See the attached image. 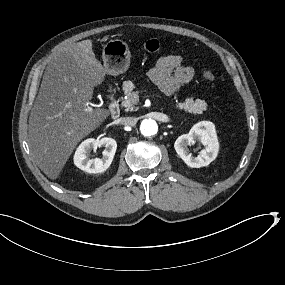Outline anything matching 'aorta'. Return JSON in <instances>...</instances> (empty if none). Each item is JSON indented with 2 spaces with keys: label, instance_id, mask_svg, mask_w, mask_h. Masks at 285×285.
<instances>
[{
  "label": "aorta",
  "instance_id": "aorta-1",
  "mask_svg": "<svg viewBox=\"0 0 285 285\" xmlns=\"http://www.w3.org/2000/svg\"><path fill=\"white\" fill-rule=\"evenodd\" d=\"M140 131L144 136H152L158 132V125L153 119H144L141 122Z\"/></svg>",
  "mask_w": 285,
  "mask_h": 285
}]
</instances>
